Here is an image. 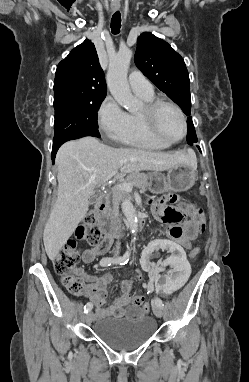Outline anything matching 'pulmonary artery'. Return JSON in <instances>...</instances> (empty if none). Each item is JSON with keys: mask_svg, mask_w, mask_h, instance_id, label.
<instances>
[{"mask_svg": "<svg viewBox=\"0 0 249 382\" xmlns=\"http://www.w3.org/2000/svg\"><path fill=\"white\" fill-rule=\"evenodd\" d=\"M129 85L136 94L151 95L153 87L148 79L137 71H132L128 77Z\"/></svg>", "mask_w": 249, "mask_h": 382, "instance_id": "e3ab8cb5", "label": "pulmonary artery"}]
</instances>
